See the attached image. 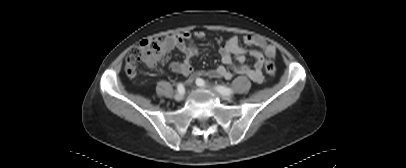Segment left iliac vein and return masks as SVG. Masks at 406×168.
<instances>
[{"label":"left iliac vein","mask_w":406,"mask_h":168,"mask_svg":"<svg viewBox=\"0 0 406 168\" xmlns=\"http://www.w3.org/2000/svg\"><path fill=\"white\" fill-rule=\"evenodd\" d=\"M207 89H209V90H211V91H214V90H212L211 88H209V87H207ZM215 92V91H214ZM215 93H217V92H215ZM220 96H221V98L223 99V100H226V101H230L231 99H232V96L231 95H224V94H219Z\"/></svg>","instance_id":"1"}]
</instances>
